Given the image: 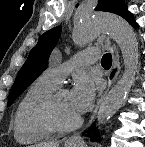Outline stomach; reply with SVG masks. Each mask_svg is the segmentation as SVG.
Masks as SVG:
<instances>
[{
    "label": "stomach",
    "instance_id": "1",
    "mask_svg": "<svg viewBox=\"0 0 145 147\" xmlns=\"http://www.w3.org/2000/svg\"><path fill=\"white\" fill-rule=\"evenodd\" d=\"M64 147H80L79 144H68L66 143Z\"/></svg>",
    "mask_w": 145,
    "mask_h": 147
}]
</instances>
